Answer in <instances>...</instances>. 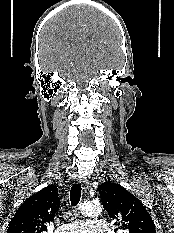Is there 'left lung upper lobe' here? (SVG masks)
I'll use <instances>...</instances> for the list:
<instances>
[{
	"mask_svg": "<svg viewBox=\"0 0 174 233\" xmlns=\"http://www.w3.org/2000/svg\"><path fill=\"white\" fill-rule=\"evenodd\" d=\"M99 193L103 207L115 220L114 225L126 233H156L150 214L140 200L125 188L106 182L99 186Z\"/></svg>",
	"mask_w": 174,
	"mask_h": 233,
	"instance_id": "obj_1",
	"label": "left lung upper lobe"
}]
</instances>
